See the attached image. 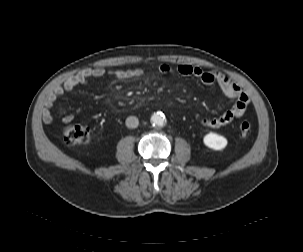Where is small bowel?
<instances>
[{
    "instance_id": "c3829d8e",
    "label": "small bowel",
    "mask_w": 303,
    "mask_h": 252,
    "mask_svg": "<svg viewBox=\"0 0 303 252\" xmlns=\"http://www.w3.org/2000/svg\"><path fill=\"white\" fill-rule=\"evenodd\" d=\"M161 74L167 75L172 72V67L167 62H161L158 66ZM179 75L183 77H194L199 79L205 85H218L221 91L229 98L236 100L235 104L226 110L222 115L212 118H205L201 121L202 125L218 129L229 124L233 119L242 115L248 106V96L230 77L227 75L202 69L187 63H179L176 68ZM144 74L142 68L124 69V70H106L101 67H94L82 70L81 72L71 76L62 83L55 85L48 96L45 103L42 121L46 125L54 122L53 109L57 99L66 92H70L78 85L87 84L92 79H99L106 76L124 80L129 78L141 77ZM73 119L71 114H64L62 122L68 123Z\"/></svg>"
}]
</instances>
